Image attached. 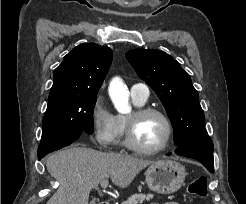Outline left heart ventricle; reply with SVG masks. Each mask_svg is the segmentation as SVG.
I'll return each instance as SVG.
<instances>
[{
  "instance_id": "1",
  "label": "left heart ventricle",
  "mask_w": 246,
  "mask_h": 204,
  "mask_svg": "<svg viewBox=\"0 0 246 204\" xmlns=\"http://www.w3.org/2000/svg\"><path fill=\"white\" fill-rule=\"evenodd\" d=\"M167 134L166 124L157 115H149L140 119L136 127V141L142 147L153 149L159 147Z\"/></svg>"
}]
</instances>
